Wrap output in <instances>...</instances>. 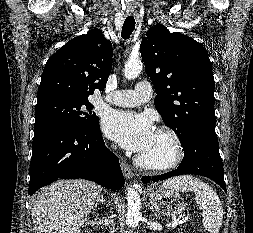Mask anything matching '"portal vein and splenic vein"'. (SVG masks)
<instances>
[{"instance_id":"obj_1","label":"portal vein and splenic vein","mask_w":253,"mask_h":233,"mask_svg":"<svg viewBox=\"0 0 253 233\" xmlns=\"http://www.w3.org/2000/svg\"><path fill=\"white\" fill-rule=\"evenodd\" d=\"M189 219H190V217H185V218H182V219L178 218V219L172 221L171 223L167 224L166 226L167 227H176V226H178L180 224L185 223Z\"/></svg>"}]
</instances>
